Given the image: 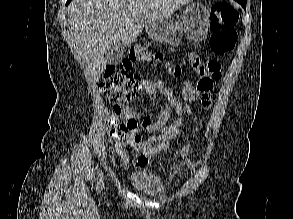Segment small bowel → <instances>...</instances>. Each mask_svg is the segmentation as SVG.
<instances>
[{"instance_id":"small-bowel-1","label":"small bowel","mask_w":293,"mask_h":219,"mask_svg":"<svg viewBox=\"0 0 293 219\" xmlns=\"http://www.w3.org/2000/svg\"><path fill=\"white\" fill-rule=\"evenodd\" d=\"M203 81L201 77L195 86L189 81H184L181 85V94L184 102L179 101L172 91L159 81L144 80L143 86L146 93L154 98L159 105V113L157 115H147L141 123L138 122L137 115L131 110H126L127 121L125 126L121 128V132L112 131L110 142H120L122 146L132 145L135 149L141 152V155L135 161V165L145 166L150 158L157 155L170 146V141L179 135V125L182 116L185 112H191V103L200 100L205 107L210 104V94L213 90V85L202 90L200 84ZM163 98V100L160 99ZM172 109L175 110L176 119L169 125L165 123L169 119ZM161 130L158 136L146 138L143 132H151Z\"/></svg>"}]
</instances>
